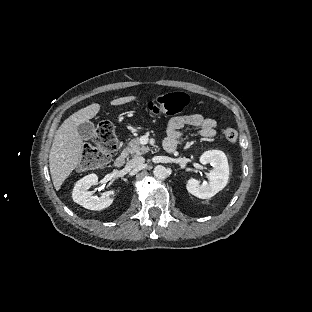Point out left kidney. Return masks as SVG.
<instances>
[{
    "instance_id": "left-kidney-1",
    "label": "left kidney",
    "mask_w": 312,
    "mask_h": 312,
    "mask_svg": "<svg viewBox=\"0 0 312 312\" xmlns=\"http://www.w3.org/2000/svg\"><path fill=\"white\" fill-rule=\"evenodd\" d=\"M199 161L202 165L211 164L212 168L207 173L208 182L202 185L196 178H189L186 190L189 194L200 199H209L223 190L229 179L228 163L225 154L219 150L205 151Z\"/></svg>"
}]
</instances>
